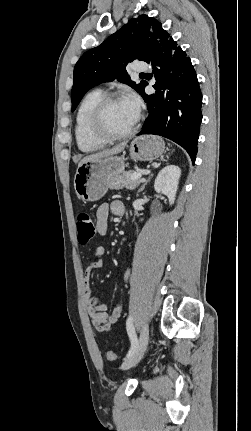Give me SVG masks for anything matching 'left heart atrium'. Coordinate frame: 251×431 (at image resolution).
Segmentation results:
<instances>
[{
  "instance_id": "39dd6f15",
  "label": "left heart atrium",
  "mask_w": 251,
  "mask_h": 431,
  "mask_svg": "<svg viewBox=\"0 0 251 431\" xmlns=\"http://www.w3.org/2000/svg\"><path fill=\"white\" fill-rule=\"evenodd\" d=\"M125 103L129 105L136 113L140 111V101L137 97L130 95L124 99Z\"/></svg>"
}]
</instances>
